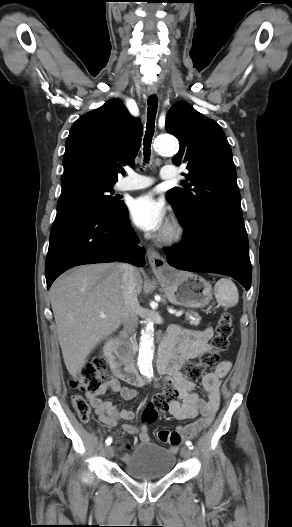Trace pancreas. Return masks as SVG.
Masks as SVG:
<instances>
[{"label": "pancreas", "mask_w": 292, "mask_h": 527, "mask_svg": "<svg viewBox=\"0 0 292 527\" xmlns=\"http://www.w3.org/2000/svg\"><path fill=\"white\" fill-rule=\"evenodd\" d=\"M186 319L191 325H198L200 323L201 317L196 312H186Z\"/></svg>", "instance_id": "obj_1"}]
</instances>
